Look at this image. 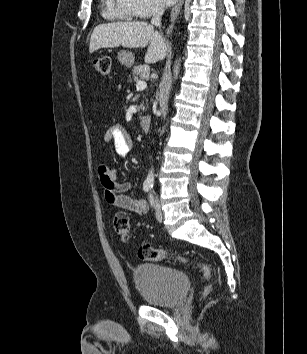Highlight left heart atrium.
Instances as JSON below:
<instances>
[{
  "instance_id": "obj_1",
  "label": "left heart atrium",
  "mask_w": 307,
  "mask_h": 354,
  "mask_svg": "<svg viewBox=\"0 0 307 354\" xmlns=\"http://www.w3.org/2000/svg\"><path fill=\"white\" fill-rule=\"evenodd\" d=\"M163 6L172 5L176 0H157Z\"/></svg>"
}]
</instances>
